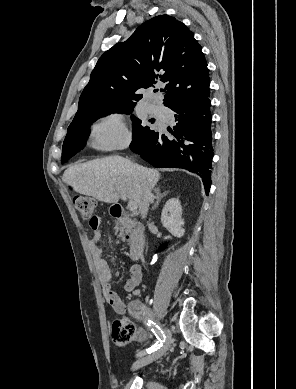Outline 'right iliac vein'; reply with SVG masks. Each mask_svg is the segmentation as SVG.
<instances>
[{
    "instance_id": "right-iliac-vein-1",
    "label": "right iliac vein",
    "mask_w": 296,
    "mask_h": 389,
    "mask_svg": "<svg viewBox=\"0 0 296 389\" xmlns=\"http://www.w3.org/2000/svg\"><path fill=\"white\" fill-rule=\"evenodd\" d=\"M170 342H171L170 333H169V331H167V338L164 341V344L158 350L153 352L152 354L147 355V356H143L139 360H137L133 365V369L141 368V367L148 365V364L156 361L157 359H159L168 350V348L170 346Z\"/></svg>"
}]
</instances>
